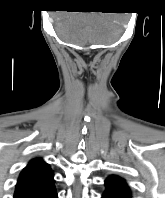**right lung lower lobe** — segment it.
<instances>
[{
    "label": "right lung lower lobe",
    "instance_id": "obj_1",
    "mask_svg": "<svg viewBox=\"0 0 165 198\" xmlns=\"http://www.w3.org/2000/svg\"><path fill=\"white\" fill-rule=\"evenodd\" d=\"M33 198H58L55 186L37 196H34Z\"/></svg>",
    "mask_w": 165,
    "mask_h": 198
}]
</instances>
